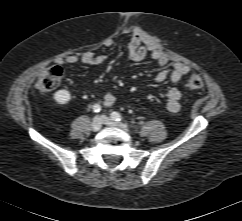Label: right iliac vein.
I'll list each match as a JSON object with an SVG mask.
<instances>
[{
  "label": "right iliac vein",
  "instance_id": "obj_1",
  "mask_svg": "<svg viewBox=\"0 0 242 221\" xmlns=\"http://www.w3.org/2000/svg\"><path fill=\"white\" fill-rule=\"evenodd\" d=\"M101 127H102V120L100 117L96 116L92 121L91 128L94 132H97L101 129Z\"/></svg>",
  "mask_w": 242,
  "mask_h": 221
}]
</instances>
